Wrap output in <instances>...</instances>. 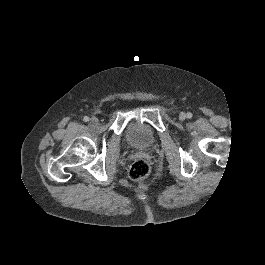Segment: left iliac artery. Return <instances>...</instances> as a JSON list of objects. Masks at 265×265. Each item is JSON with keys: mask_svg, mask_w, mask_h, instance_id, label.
Listing matches in <instances>:
<instances>
[{"mask_svg": "<svg viewBox=\"0 0 265 265\" xmlns=\"http://www.w3.org/2000/svg\"><path fill=\"white\" fill-rule=\"evenodd\" d=\"M192 116H193V114H192L191 112H188V113H187V118L190 119V118H192Z\"/></svg>", "mask_w": 265, "mask_h": 265, "instance_id": "1", "label": "left iliac artery"}]
</instances>
